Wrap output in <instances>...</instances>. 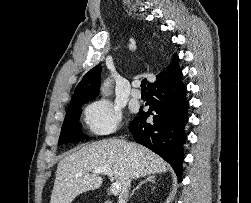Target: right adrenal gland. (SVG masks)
Listing matches in <instances>:
<instances>
[{"mask_svg": "<svg viewBox=\"0 0 251 203\" xmlns=\"http://www.w3.org/2000/svg\"><path fill=\"white\" fill-rule=\"evenodd\" d=\"M147 182L155 183V176L154 175H149L144 181L140 182L139 185L136 188L133 189V191L130 194V196L132 197L134 195V192L136 190H138L143 184H145Z\"/></svg>", "mask_w": 251, "mask_h": 203, "instance_id": "obj_1", "label": "right adrenal gland"}]
</instances>
